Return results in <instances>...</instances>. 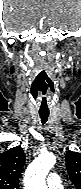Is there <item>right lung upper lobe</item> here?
Here are the masks:
<instances>
[{"label":"right lung upper lobe","mask_w":81,"mask_h":189,"mask_svg":"<svg viewBox=\"0 0 81 189\" xmlns=\"http://www.w3.org/2000/svg\"><path fill=\"white\" fill-rule=\"evenodd\" d=\"M25 164L20 146L0 154V189H19V178Z\"/></svg>","instance_id":"right-lung-upper-lobe-1"}]
</instances>
